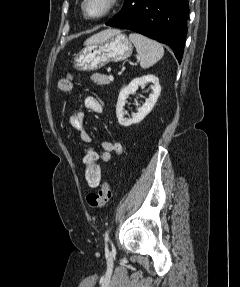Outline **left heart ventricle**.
<instances>
[{
  "instance_id": "b2bd125f",
  "label": "left heart ventricle",
  "mask_w": 240,
  "mask_h": 287,
  "mask_svg": "<svg viewBox=\"0 0 240 287\" xmlns=\"http://www.w3.org/2000/svg\"><path fill=\"white\" fill-rule=\"evenodd\" d=\"M106 5V0H88L86 3L87 13L91 16L100 14Z\"/></svg>"
}]
</instances>
